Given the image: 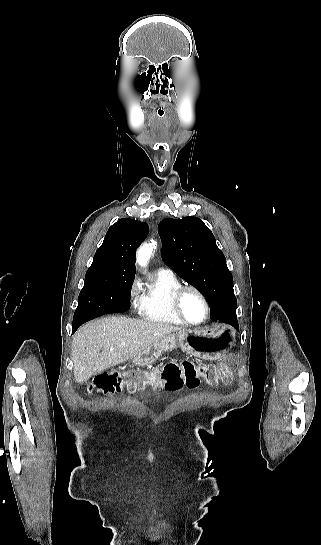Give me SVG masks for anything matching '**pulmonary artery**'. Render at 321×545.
<instances>
[{"mask_svg":"<svg viewBox=\"0 0 321 545\" xmlns=\"http://www.w3.org/2000/svg\"><path fill=\"white\" fill-rule=\"evenodd\" d=\"M158 271H159V272L168 273V274H171V275H175V274H174V271H173L171 268L165 267V266L159 267Z\"/></svg>","mask_w":321,"mask_h":545,"instance_id":"pulmonary-artery-1","label":"pulmonary artery"}]
</instances>
